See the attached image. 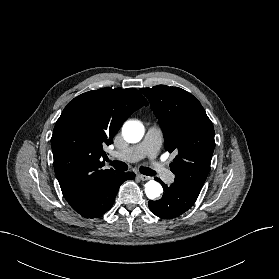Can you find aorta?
I'll list each match as a JSON object with an SVG mask.
<instances>
[{
	"instance_id": "obj_1",
	"label": "aorta",
	"mask_w": 279,
	"mask_h": 279,
	"mask_svg": "<svg viewBox=\"0 0 279 279\" xmlns=\"http://www.w3.org/2000/svg\"><path fill=\"white\" fill-rule=\"evenodd\" d=\"M122 135L127 142L137 143L144 135V126L139 121H127L122 127ZM163 188L157 181L150 180L145 184V193L149 199H155Z\"/></svg>"
}]
</instances>
